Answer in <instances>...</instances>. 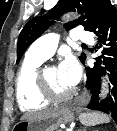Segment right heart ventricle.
<instances>
[{"mask_svg":"<svg viewBox=\"0 0 117 131\" xmlns=\"http://www.w3.org/2000/svg\"><path fill=\"white\" fill-rule=\"evenodd\" d=\"M44 60L25 58L16 78V96L23 111L38 110L48 105L40 93L37 81L39 67Z\"/></svg>","mask_w":117,"mask_h":131,"instance_id":"e07e8e85","label":"right heart ventricle"}]
</instances>
